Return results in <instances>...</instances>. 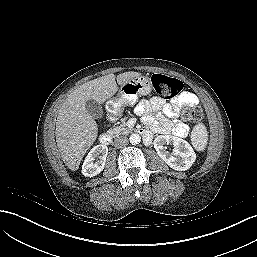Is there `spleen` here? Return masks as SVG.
<instances>
[{
  "mask_svg": "<svg viewBox=\"0 0 257 257\" xmlns=\"http://www.w3.org/2000/svg\"><path fill=\"white\" fill-rule=\"evenodd\" d=\"M208 141V133L203 123H198L194 126L191 132V142L193 147L198 151H203L206 148Z\"/></svg>",
  "mask_w": 257,
  "mask_h": 257,
  "instance_id": "spleen-1",
  "label": "spleen"
}]
</instances>
